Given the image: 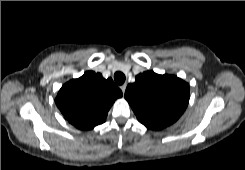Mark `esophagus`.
<instances>
[{"instance_id":"1","label":"esophagus","mask_w":245,"mask_h":170,"mask_svg":"<svg viewBox=\"0 0 245 170\" xmlns=\"http://www.w3.org/2000/svg\"><path fill=\"white\" fill-rule=\"evenodd\" d=\"M126 87H127V84H123V85L120 87L121 90H122L123 95H124V93H125Z\"/></svg>"}]
</instances>
